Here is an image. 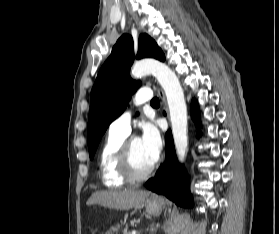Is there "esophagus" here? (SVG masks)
Masks as SVG:
<instances>
[{
	"mask_svg": "<svg viewBox=\"0 0 279 234\" xmlns=\"http://www.w3.org/2000/svg\"><path fill=\"white\" fill-rule=\"evenodd\" d=\"M157 91H158L159 97L162 101L163 108L165 110H167V103H166V99H165V95H164L163 90L160 87H157Z\"/></svg>",
	"mask_w": 279,
	"mask_h": 234,
	"instance_id": "obj_1",
	"label": "esophagus"
}]
</instances>
